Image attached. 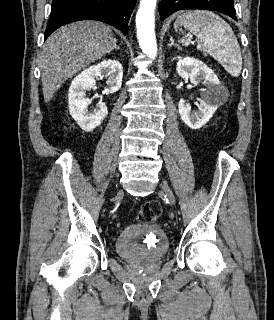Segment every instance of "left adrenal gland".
<instances>
[{
    "instance_id": "obj_1",
    "label": "left adrenal gland",
    "mask_w": 274,
    "mask_h": 320,
    "mask_svg": "<svg viewBox=\"0 0 274 320\" xmlns=\"http://www.w3.org/2000/svg\"><path fill=\"white\" fill-rule=\"evenodd\" d=\"M169 48H171V46H175V48H177V50H181L180 46H178V44H174V40L173 38H170V44H168Z\"/></svg>"
}]
</instances>
